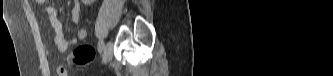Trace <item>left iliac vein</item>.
<instances>
[{
  "mask_svg": "<svg viewBox=\"0 0 333 76\" xmlns=\"http://www.w3.org/2000/svg\"><path fill=\"white\" fill-rule=\"evenodd\" d=\"M113 54V43L108 41L103 47L102 63H107L111 60Z\"/></svg>",
  "mask_w": 333,
  "mask_h": 76,
  "instance_id": "obj_1",
  "label": "left iliac vein"
}]
</instances>
